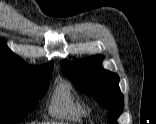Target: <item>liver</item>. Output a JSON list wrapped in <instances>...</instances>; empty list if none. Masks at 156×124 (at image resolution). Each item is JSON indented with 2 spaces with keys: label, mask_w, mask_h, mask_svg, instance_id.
Returning a JSON list of instances; mask_svg holds the SVG:
<instances>
[{
  "label": "liver",
  "mask_w": 156,
  "mask_h": 124,
  "mask_svg": "<svg viewBox=\"0 0 156 124\" xmlns=\"http://www.w3.org/2000/svg\"><path fill=\"white\" fill-rule=\"evenodd\" d=\"M44 124H46V123H44ZM47 124H62V123L50 122V123H47Z\"/></svg>",
  "instance_id": "1"
}]
</instances>
